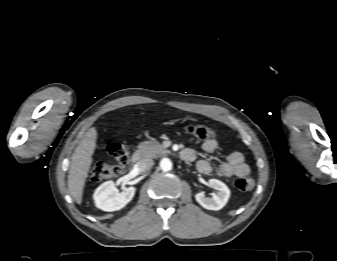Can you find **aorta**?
<instances>
[{
    "instance_id": "762f6f07",
    "label": "aorta",
    "mask_w": 337,
    "mask_h": 261,
    "mask_svg": "<svg viewBox=\"0 0 337 261\" xmlns=\"http://www.w3.org/2000/svg\"><path fill=\"white\" fill-rule=\"evenodd\" d=\"M160 167L165 172L170 171L172 169V162H171V160L168 159V158L161 159V161H160Z\"/></svg>"
}]
</instances>
